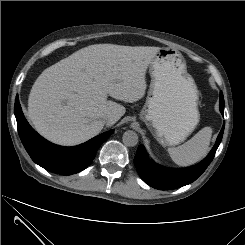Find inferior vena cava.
Wrapping results in <instances>:
<instances>
[{
	"label": "inferior vena cava",
	"mask_w": 245,
	"mask_h": 245,
	"mask_svg": "<svg viewBox=\"0 0 245 245\" xmlns=\"http://www.w3.org/2000/svg\"><path fill=\"white\" fill-rule=\"evenodd\" d=\"M110 120H111V118H110V117H107V116L103 118V121H104V122H108V121H110Z\"/></svg>",
	"instance_id": "obj_1"
}]
</instances>
